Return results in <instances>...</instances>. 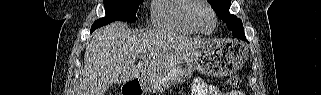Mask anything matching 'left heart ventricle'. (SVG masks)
<instances>
[{"label": "left heart ventricle", "instance_id": "left-heart-ventricle-1", "mask_svg": "<svg viewBox=\"0 0 321 95\" xmlns=\"http://www.w3.org/2000/svg\"><path fill=\"white\" fill-rule=\"evenodd\" d=\"M195 17L199 26L204 30L212 28V18L210 12L205 7H199L195 12Z\"/></svg>", "mask_w": 321, "mask_h": 95}]
</instances>
